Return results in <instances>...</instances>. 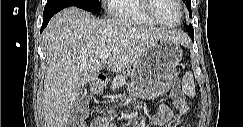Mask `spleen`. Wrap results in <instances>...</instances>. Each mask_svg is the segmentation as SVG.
<instances>
[{"label": "spleen", "mask_w": 243, "mask_h": 127, "mask_svg": "<svg viewBox=\"0 0 243 127\" xmlns=\"http://www.w3.org/2000/svg\"><path fill=\"white\" fill-rule=\"evenodd\" d=\"M182 89L189 97H194L196 95L194 77L192 72H187L183 76Z\"/></svg>", "instance_id": "3e777b00"}]
</instances>
